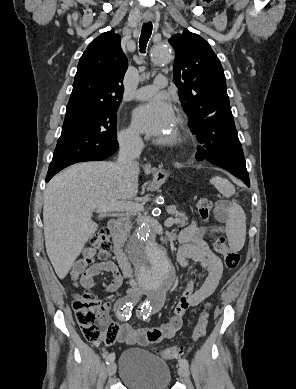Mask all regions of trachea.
<instances>
[{"label":"trachea","mask_w":296,"mask_h":389,"mask_svg":"<svg viewBox=\"0 0 296 389\" xmlns=\"http://www.w3.org/2000/svg\"><path fill=\"white\" fill-rule=\"evenodd\" d=\"M151 34H152V23L151 22L144 23L142 26V33L139 40V47L141 53H145V49Z\"/></svg>","instance_id":"obj_1"}]
</instances>
